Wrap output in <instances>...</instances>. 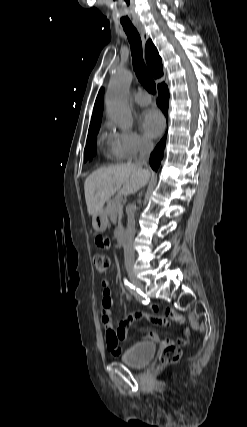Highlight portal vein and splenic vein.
Listing matches in <instances>:
<instances>
[{
    "label": "portal vein and splenic vein",
    "instance_id": "1",
    "mask_svg": "<svg viewBox=\"0 0 247 427\" xmlns=\"http://www.w3.org/2000/svg\"><path fill=\"white\" fill-rule=\"evenodd\" d=\"M122 193V192H121ZM123 194V193H122ZM122 194L116 197V201L121 202L122 201Z\"/></svg>",
    "mask_w": 247,
    "mask_h": 427
}]
</instances>
